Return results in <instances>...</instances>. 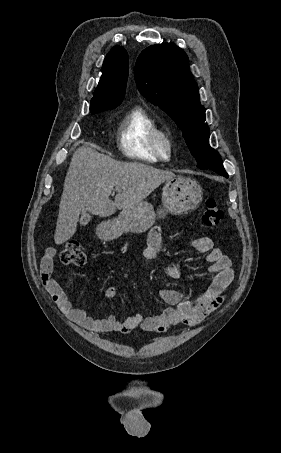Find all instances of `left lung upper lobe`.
Listing matches in <instances>:
<instances>
[{
	"mask_svg": "<svg viewBox=\"0 0 281 453\" xmlns=\"http://www.w3.org/2000/svg\"><path fill=\"white\" fill-rule=\"evenodd\" d=\"M135 80L140 93L164 110L183 131L197 167L225 171L220 154L209 145L205 109L185 52L172 43L146 48L137 59Z\"/></svg>",
	"mask_w": 281,
	"mask_h": 453,
	"instance_id": "left-lung-upper-lobe-1",
	"label": "left lung upper lobe"
}]
</instances>
